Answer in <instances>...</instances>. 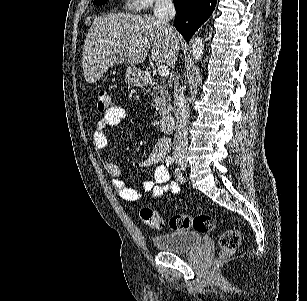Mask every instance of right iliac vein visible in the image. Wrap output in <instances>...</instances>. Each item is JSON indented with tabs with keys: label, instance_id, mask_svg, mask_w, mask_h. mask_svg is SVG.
Instances as JSON below:
<instances>
[{
	"label": "right iliac vein",
	"instance_id": "1",
	"mask_svg": "<svg viewBox=\"0 0 307 301\" xmlns=\"http://www.w3.org/2000/svg\"><path fill=\"white\" fill-rule=\"evenodd\" d=\"M176 162L180 167H184L185 166V160L182 157H176Z\"/></svg>",
	"mask_w": 307,
	"mask_h": 301
}]
</instances>
